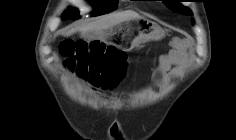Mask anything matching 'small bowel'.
I'll use <instances>...</instances> for the list:
<instances>
[{"label":"small bowel","instance_id":"c3829d8e","mask_svg":"<svg viewBox=\"0 0 236 140\" xmlns=\"http://www.w3.org/2000/svg\"><path fill=\"white\" fill-rule=\"evenodd\" d=\"M172 44L173 49L160 58L159 65L154 72L155 80H164L175 75L176 70L183 66L187 60L183 41L175 39Z\"/></svg>","mask_w":236,"mask_h":140}]
</instances>
